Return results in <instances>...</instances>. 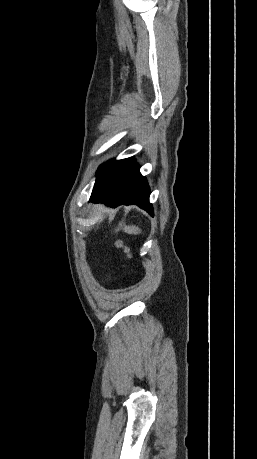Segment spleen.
<instances>
[{
    "label": "spleen",
    "instance_id": "1",
    "mask_svg": "<svg viewBox=\"0 0 257 459\" xmlns=\"http://www.w3.org/2000/svg\"><path fill=\"white\" fill-rule=\"evenodd\" d=\"M123 230L127 234H134V235L139 234L141 232L140 228L135 225L125 226Z\"/></svg>",
    "mask_w": 257,
    "mask_h": 459
}]
</instances>
